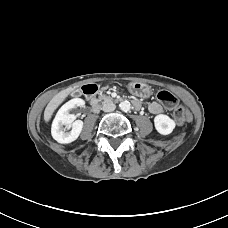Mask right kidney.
Listing matches in <instances>:
<instances>
[{
	"mask_svg": "<svg viewBox=\"0 0 228 228\" xmlns=\"http://www.w3.org/2000/svg\"><path fill=\"white\" fill-rule=\"evenodd\" d=\"M85 101L80 98H74L66 102L57 112L51 128L52 137L61 144H68L75 141L83 128V121L75 120V115L69 111L76 107H83ZM72 127L70 132H65L66 129Z\"/></svg>",
	"mask_w": 228,
	"mask_h": 228,
	"instance_id": "1",
	"label": "right kidney"
}]
</instances>
